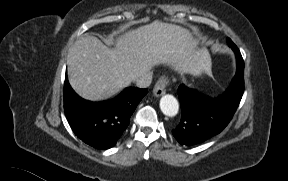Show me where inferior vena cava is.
Here are the masks:
<instances>
[{
    "instance_id": "obj_1",
    "label": "inferior vena cava",
    "mask_w": 288,
    "mask_h": 181,
    "mask_svg": "<svg viewBox=\"0 0 288 181\" xmlns=\"http://www.w3.org/2000/svg\"><path fill=\"white\" fill-rule=\"evenodd\" d=\"M151 81H152V75L150 73L141 74L134 79L136 86L139 88L148 87L151 84Z\"/></svg>"
}]
</instances>
